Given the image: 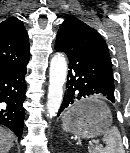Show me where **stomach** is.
Here are the masks:
<instances>
[{"label": "stomach", "mask_w": 130, "mask_h": 153, "mask_svg": "<svg viewBox=\"0 0 130 153\" xmlns=\"http://www.w3.org/2000/svg\"><path fill=\"white\" fill-rule=\"evenodd\" d=\"M63 123L67 130L76 136L93 138L111 126L112 115L105 103L88 98L71 107Z\"/></svg>", "instance_id": "obj_1"}]
</instances>
